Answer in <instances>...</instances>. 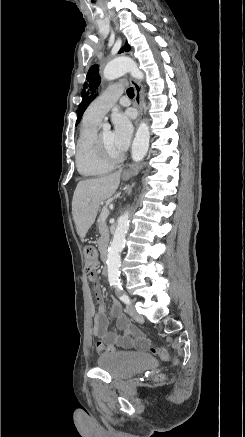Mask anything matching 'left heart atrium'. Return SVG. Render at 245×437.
Wrapping results in <instances>:
<instances>
[{
  "label": "left heart atrium",
  "mask_w": 245,
  "mask_h": 437,
  "mask_svg": "<svg viewBox=\"0 0 245 437\" xmlns=\"http://www.w3.org/2000/svg\"><path fill=\"white\" fill-rule=\"evenodd\" d=\"M113 142L115 148L121 153L126 151L130 144L133 128L130 117L123 112H117L112 117Z\"/></svg>",
  "instance_id": "obj_1"
}]
</instances>
